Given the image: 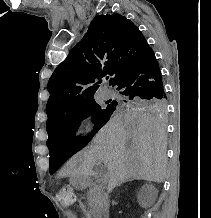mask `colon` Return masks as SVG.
<instances>
[{
	"label": "colon",
	"instance_id": "colon-1",
	"mask_svg": "<svg viewBox=\"0 0 211 218\" xmlns=\"http://www.w3.org/2000/svg\"><path fill=\"white\" fill-rule=\"evenodd\" d=\"M60 201L64 203H71L75 200L72 188L69 185H63L58 190L57 194Z\"/></svg>",
	"mask_w": 211,
	"mask_h": 218
}]
</instances>
